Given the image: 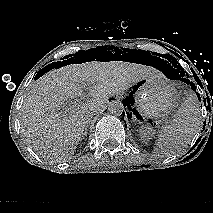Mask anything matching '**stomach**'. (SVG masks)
<instances>
[{
	"label": "stomach",
	"instance_id": "stomach-1",
	"mask_svg": "<svg viewBox=\"0 0 213 213\" xmlns=\"http://www.w3.org/2000/svg\"><path fill=\"white\" fill-rule=\"evenodd\" d=\"M140 116L159 120L179 105L176 88L163 76H150L131 86Z\"/></svg>",
	"mask_w": 213,
	"mask_h": 213
}]
</instances>
